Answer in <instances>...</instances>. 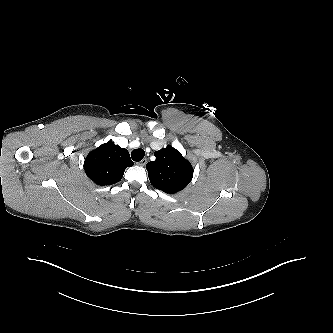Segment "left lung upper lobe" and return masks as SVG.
I'll list each match as a JSON object with an SVG mask.
<instances>
[{
    "label": "left lung upper lobe",
    "instance_id": "5c2ea615",
    "mask_svg": "<svg viewBox=\"0 0 333 333\" xmlns=\"http://www.w3.org/2000/svg\"><path fill=\"white\" fill-rule=\"evenodd\" d=\"M155 161L146 165L151 184L159 190L174 194L192 180L193 168L175 148L167 146L155 152Z\"/></svg>",
    "mask_w": 333,
    "mask_h": 333
}]
</instances>
